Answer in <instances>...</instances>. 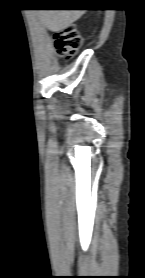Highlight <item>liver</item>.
<instances>
[{
	"mask_svg": "<svg viewBox=\"0 0 145 278\" xmlns=\"http://www.w3.org/2000/svg\"><path fill=\"white\" fill-rule=\"evenodd\" d=\"M84 12V10H39L37 14L43 26L52 32H58L78 20Z\"/></svg>",
	"mask_w": 145,
	"mask_h": 278,
	"instance_id": "liver-1",
	"label": "liver"
}]
</instances>
